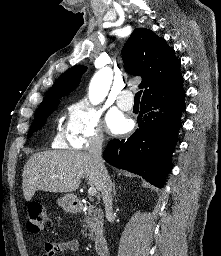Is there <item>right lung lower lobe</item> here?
Here are the masks:
<instances>
[{
    "label": "right lung lower lobe",
    "mask_w": 221,
    "mask_h": 256,
    "mask_svg": "<svg viewBox=\"0 0 221 256\" xmlns=\"http://www.w3.org/2000/svg\"><path fill=\"white\" fill-rule=\"evenodd\" d=\"M185 91L142 99L139 128L128 139L109 141L103 158L111 165L142 176L161 188L172 169L171 153L177 143Z\"/></svg>",
    "instance_id": "right-lung-lower-lobe-1"
}]
</instances>
